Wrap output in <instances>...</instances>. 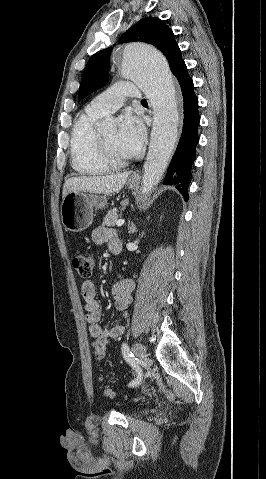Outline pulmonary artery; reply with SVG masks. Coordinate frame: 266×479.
Returning a JSON list of instances; mask_svg holds the SVG:
<instances>
[{"instance_id":"1","label":"pulmonary artery","mask_w":266,"mask_h":479,"mask_svg":"<svg viewBox=\"0 0 266 479\" xmlns=\"http://www.w3.org/2000/svg\"><path fill=\"white\" fill-rule=\"evenodd\" d=\"M127 97L140 98V89L132 82H118L97 95L89 103L88 109L94 113L106 116L118 110Z\"/></svg>"}]
</instances>
